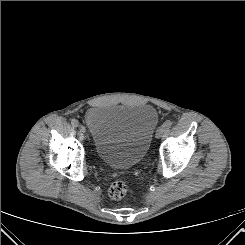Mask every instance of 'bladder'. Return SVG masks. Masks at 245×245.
<instances>
[{
	"label": "bladder",
	"instance_id": "obj_1",
	"mask_svg": "<svg viewBox=\"0 0 245 245\" xmlns=\"http://www.w3.org/2000/svg\"><path fill=\"white\" fill-rule=\"evenodd\" d=\"M85 123L97 157L109 167L124 169L146 155L158 113L148 104L98 105L87 110Z\"/></svg>",
	"mask_w": 245,
	"mask_h": 245
}]
</instances>
